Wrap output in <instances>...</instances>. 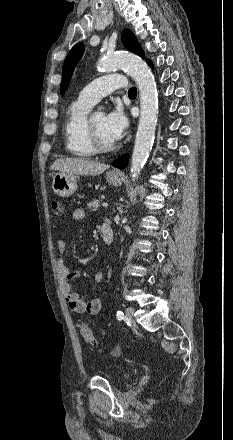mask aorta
Here are the masks:
<instances>
[{
  "label": "aorta",
  "mask_w": 233,
  "mask_h": 440,
  "mask_svg": "<svg viewBox=\"0 0 233 440\" xmlns=\"http://www.w3.org/2000/svg\"><path fill=\"white\" fill-rule=\"evenodd\" d=\"M103 71L125 70L135 80L140 92V119L131 159L132 180L138 178L152 148L158 117V93L148 65L132 54H114L98 63Z\"/></svg>",
  "instance_id": "obj_1"
}]
</instances>
